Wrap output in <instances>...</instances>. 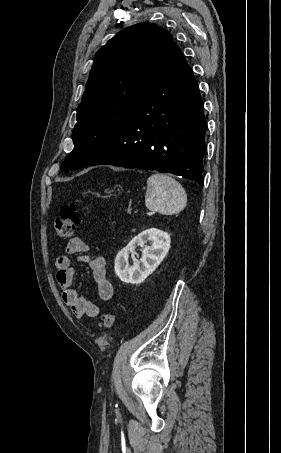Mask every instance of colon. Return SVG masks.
Returning a JSON list of instances; mask_svg holds the SVG:
<instances>
[{"instance_id":"1","label":"colon","mask_w":281,"mask_h":453,"mask_svg":"<svg viewBox=\"0 0 281 453\" xmlns=\"http://www.w3.org/2000/svg\"><path fill=\"white\" fill-rule=\"evenodd\" d=\"M86 200L78 199L74 202L63 203L61 213L54 222V231L61 239L72 236L76 228L82 223ZM115 323L114 311L107 309L101 313L100 329L110 331Z\"/></svg>"}]
</instances>
